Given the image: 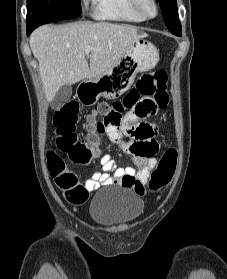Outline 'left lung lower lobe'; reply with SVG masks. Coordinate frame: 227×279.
<instances>
[{
    "instance_id": "left-lung-lower-lobe-1",
    "label": "left lung lower lobe",
    "mask_w": 227,
    "mask_h": 279,
    "mask_svg": "<svg viewBox=\"0 0 227 279\" xmlns=\"http://www.w3.org/2000/svg\"><path fill=\"white\" fill-rule=\"evenodd\" d=\"M175 35H177V36H181V34H175Z\"/></svg>"
}]
</instances>
